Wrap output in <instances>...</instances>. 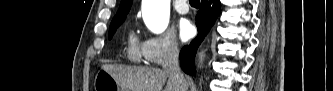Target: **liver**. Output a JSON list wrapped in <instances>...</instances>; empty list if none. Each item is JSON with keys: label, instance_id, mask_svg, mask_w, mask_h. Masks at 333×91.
Returning a JSON list of instances; mask_svg holds the SVG:
<instances>
[{"label": "liver", "instance_id": "1", "mask_svg": "<svg viewBox=\"0 0 333 91\" xmlns=\"http://www.w3.org/2000/svg\"><path fill=\"white\" fill-rule=\"evenodd\" d=\"M102 69L111 74L127 91H162L165 83L164 91H187L188 88L186 80L182 87L159 68L104 64Z\"/></svg>", "mask_w": 333, "mask_h": 91}]
</instances>
